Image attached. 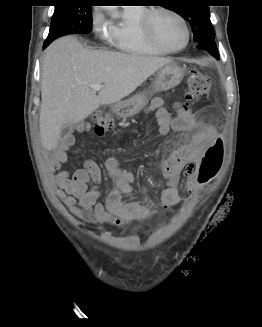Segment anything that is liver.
I'll use <instances>...</instances> for the list:
<instances>
[{"label": "liver", "mask_w": 262, "mask_h": 327, "mask_svg": "<svg viewBox=\"0 0 262 327\" xmlns=\"http://www.w3.org/2000/svg\"><path fill=\"white\" fill-rule=\"evenodd\" d=\"M170 58L84 48L72 36L49 45L42 65L39 129L41 144L58 146L62 129L79 123L100 105L129 96ZM103 85L98 95L91 86Z\"/></svg>", "instance_id": "6515ba94"}]
</instances>
